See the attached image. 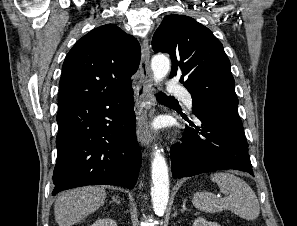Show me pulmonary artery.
Masks as SVG:
<instances>
[{"mask_svg":"<svg viewBox=\"0 0 297 226\" xmlns=\"http://www.w3.org/2000/svg\"><path fill=\"white\" fill-rule=\"evenodd\" d=\"M169 91L173 96H175L179 99H182L187 104H189V105L192 104V98H191L190 93L187 91V89L184 87L175 85L173 80H171L169 83Z\"/></svg>","mask_w":297,"mask_h":226,"instance_id":"e3ab8cb5","label":"pulmonary artery"}]
</instances>
